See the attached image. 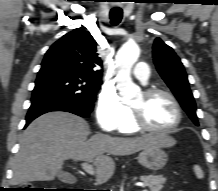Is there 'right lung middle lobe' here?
Returning a JSON list of instances; mask_svg holds the SVG:
<instances>
[{
	"instance_id": "right-lung-middle-lobe-1",
	"label": "right lung middle lobe",
	"mask_w": 218,
	"mask_h": 191,
	"mask_svg": "<svg viewBox=\"0 0 218 191\" xmlns=\"http://www.w3.org/2000/svg\"><path fill=\"white\" fill-rule=\"evenodd\" d=\"M100 82L54 61L42 62L32 98L40 94H56L82 105L93 106Z\"/></svg>"
}]
</instances>
